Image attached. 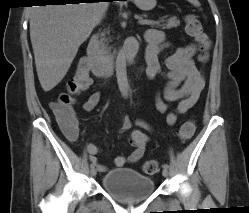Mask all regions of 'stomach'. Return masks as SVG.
<instances>
[{
	"mask_svg": "<svg viewBox=\"0 0 249 213\" xmlns=\"http://www.w3.org/2000/svg\"><path fill=\"white\" fill-rule=\"evenodd\" d=\"M134 3L142 10H150L156 5V0H134Z\"/></svg>",
	"mask_w": 249,
	"mask_h": 213,
	"instance_id": "obj_1",
	"label": "stomach"
}]
</instances>
